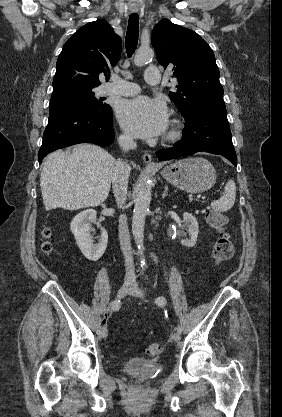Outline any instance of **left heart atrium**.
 <instances>
[{"label": "left heart atrium", "instance_id": "left-heart-atrium-1", "mask_svg": "<svg viewBox=\"0 0 282 417\" xmlns=\"http://www.w3.org/2000/svg\"><path fill=\"white\" fill-rule=\"evenodd\" d=\"M118 118L129 133L142 137L158 135L167 126L165 105L147 97L124 101L118 109Z\"/></svg>", "mask_w": 282, "mask_h": 417}]
</instances>
